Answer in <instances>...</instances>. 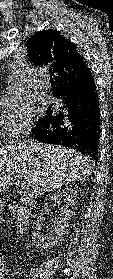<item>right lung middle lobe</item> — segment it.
<instances>
[{
	"mask_svg": "<svg viewBox=\"0 0 113 279\" xmlns=\"http://www.w3.org/2000/svg\"><path fill=\"white\" fill-rule=\"evenodd\" d=\"M49 112H50V111H49V110H47V114H48ZM47 114H46L45 116H43V117H40V118L38 119V121H37L36 125H37V124H39V123H41L42 121H44V120H45V118H46V116H47Z\"/></svg>",
	"mask_w": 113,
	"mask_h": 279,
	"instance_id": "obj_1",
	"label": "right lung middle lobe"
}]
</instances>
